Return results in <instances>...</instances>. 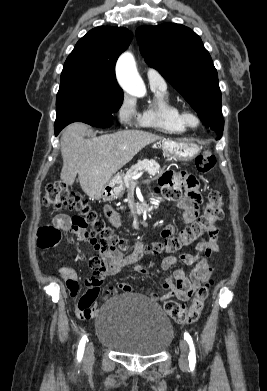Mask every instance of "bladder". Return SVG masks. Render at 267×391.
Returning a JSON list of instances; mask_svg holds the SVG:
<instances>
[{
    "label": "bladder",
    "instance_id": "bladder-1",
    "mask_svg": "<svg viewBox=\"0 0 267 391\" xmlns=\"http://www.w3.org/2000/svg\"><path fill=\"white\" fill-rule=\"evenodd\" d=\"M96 334L101 344L116 352L152 356L168 348L174 330L159 305L137 295L121 294L101 306Z\"/></svg>",
    "mask_w": 267,
    "mask_h": 391
}]
</instances>
